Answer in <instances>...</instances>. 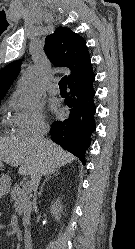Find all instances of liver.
I'll return each mask as SVG.
<instances>
[{
    "label": "liver",
    "instance_id": "liver-1",
    "mask_svg": "<svg viewBox=\"0 0 135 249\" xmlns=\"http://www.w3.org/2000/svg\"><path fill=\"white\" fill-rule=\"evenodd\" d=\"M75 157L51 140L36 141L34 137H0V161L18 167L19 174L47 175L71 163Z\"/></svg>",
    "mask_w": 135,
    "mask_h": 249
}]
</instances>
